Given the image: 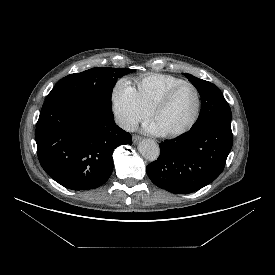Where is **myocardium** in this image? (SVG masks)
<instances>
[{
    "instance_id": "f54148a6",
    "label": "myocardium",
    "mask_w": 275,
    "mask_h": 275,
    "mask_svg": "<svg viewBox=\"0 0 275 275\" xmlns=\"http://www.w3.org/2000/svg\"><path fill=\"white\" fill-rule=\"evenodd\" d=\"M182 86H190L194 90L195 95H196L195 112H194L192 119L183 128H181L177 131H174V132L163 133V136H165L167 138H176V137L182 136V135L186 134L187 132H189L196 125V123L198 122L200 115H201L202 98H201L199 89L193 83H191L189 81H181V82L175 84L174 86H172L171 88H169L162 95V97L155 103V105L153 106V108L151 109V112H150L151 118L154 119L156 114L168 105V103L170 102L174 93Z\"/></svg>"
}]
</instances>
